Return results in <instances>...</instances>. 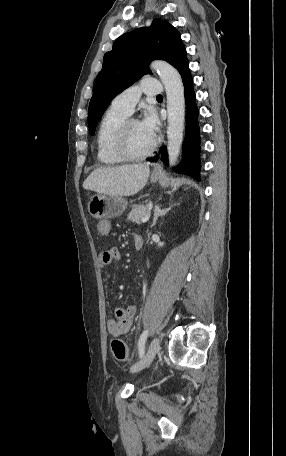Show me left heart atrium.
<instances>
[{"instance_id":"obj_1","label":"left heart atrium","mask_w":286,"mask_h":456,"mask_svg":"<svg viewBox=\"0 0 286 456\" xmlns=\"http://www.w3.org/2000/svg\"><path fill=\"white\" fill-rule=\"evenodd\" d=\"M142 128L147 132V134L155 140L157 132L159 130V120L156 116V113L152 109H147L145 111L144 117L140 122Z\"/></svg>"}]
</instances>
